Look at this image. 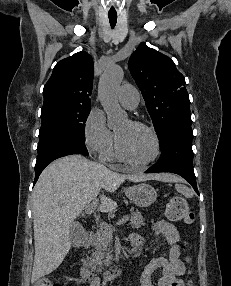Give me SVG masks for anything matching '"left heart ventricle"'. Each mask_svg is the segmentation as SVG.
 <instances>
[{
  "instance_id": "obj_1",
  "label": "left heart ventricle",
  "mask_w": 231,
  "mask_h": 286,
  "mask_svg": "<svg viewBox=\"0 0 231 286\" xmlns=\"http://www.w3.org/2000/svg\"><path fill=\"white\" fill-rule=\"evenodd\" d=\"M116 135L124 154L132 161L141 163L153 155V138L144 129L126 121L116 129Z\"/></svg>"
}]
</instances>
